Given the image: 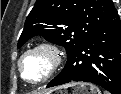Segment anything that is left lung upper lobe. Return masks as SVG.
Listing matches in <instances>:
<instances>
[{"mask_svg":"<svg viewBox=\"0 0 121 94\" xmlns=\"http://www.w3.org/2000/svg\"><path fill=\"white\" fill-rule=\"evenodd\" d=\"M118 17L112 0H37L17 47L42 35L66 48L67 58L90 36Z\"/></svg>","mask_w":121,"mask_h":94,"instance_id":"1","label":"left lung upper lobe"}]
</instances>
